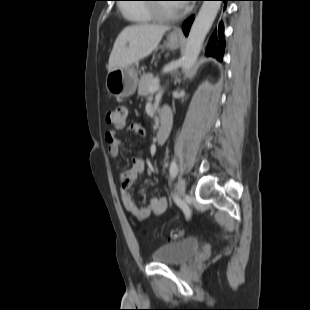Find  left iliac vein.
Instances as JSON below:
<instances>
[{
  "mask_svg": "<svg viewBox=\"0 0 310 310\" xmlns=\"http://www.w3.org/2000/svg\"><path fill=\"white\" fill-rule=\"evenodd\" d=\"M176 191L180 197H183L185 195L186 186H185V181L182 178H179L177 180Z\"/></svg>",
  "mask_w": 310,
  "mask_h": 310,
  "instance_id": "4c4485c4",
  "label": "left iliac vein"
}]
</instances>
